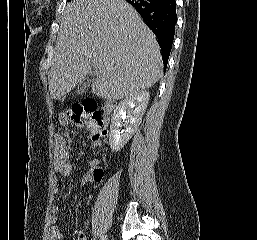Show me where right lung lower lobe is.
Wrapping results in <instances>:
<instances>
[{
  "label": "right lung lower lobe",
  "mask_w": 257,
  "mask_h": 240,
  "mask_svg": "<svg viewBox=\"0 0 257 240\" xmlns=\"http://www.w3.org/2000/svg\"><path fill=\"white\" fill-rule=\"evenodd\" d=\"M126 1L137 10L147 26L157 36L162 51L164 68L166 69L177 21L176 0Z\"/></svg>",
  "instance_id": "obj_1"
}]
</instances>
